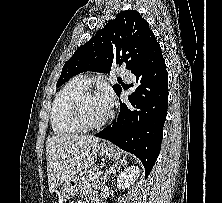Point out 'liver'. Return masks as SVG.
Returning <instances> with one entry per match:
<instances>
[{
  "instance_id": "1",
  "label": "liver",
  "mask_w": 222,
  "mask_h": 203,
  "mask_svg": "<svg viewBox=\"0 0 222 203\" xmlns=\"http://www.w3.org/2000/svg\"><path fill=\"white\" fill-rule=\"evenodd\" d=\"M100 139L94 136L56 134L46 141L47 176L52 194L66 180L90 168Z\"/></svg>"
}]
</instances>
